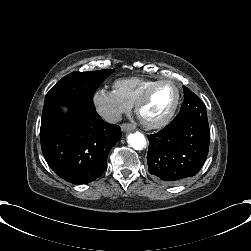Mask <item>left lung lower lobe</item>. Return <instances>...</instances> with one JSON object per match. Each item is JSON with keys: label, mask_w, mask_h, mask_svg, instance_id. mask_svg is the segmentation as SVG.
<instances>
[{"label": "left lung lower lobe", "mask_w": 251, "mask_h": 251, "mask_svg": "<svg viewBox=\"0 0 251 251\" xmlns=\"http://www.w3.org/2000/svg\"><path fill=\"white\" fill-rule=\"evenodd\" d=\"M148 139L149 173L166 184H176L196 175L203 166L210 130L207 118L189 117L172 121Z\"/></svg>", "instance_id": "left-lung-lower-lobe-1"}]
</instances>
